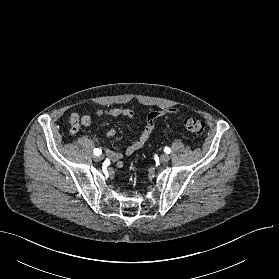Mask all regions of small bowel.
<instances>
[{"label":"small bowel","mask_w":279,"mask_h":279,"mask_svg":"<svg viewBox=\"0 0 279 279\" xmlns=\"http://www.w3.org/2000/svg\"><path fill=\"white\" fill-rule=\"evenodd\" d=\"M179 110L176 108H168V109H161L157 111H152L148 114L146 123L143 126L142 130L137 139L129 143L125 149L124 153L115 152L110 149H105L106 155L113 161L117 162V167L120 168L123 165V157L130 156L137 150H139L148 140L149 136L155 130V121L164 115H178ZM98 118L103 117H126V118H133L134 112L131 109L115 107L110 110H98L96 112ZM92 123V118L89 114H85L81 118V124L84 127H89ZM116 131L113 128H110L106 131V136L108 138L114 137ZM95 141L99 143V140L95 138Z\"/></svg>","instance_id":"c3829d8e"}]
</instances>
